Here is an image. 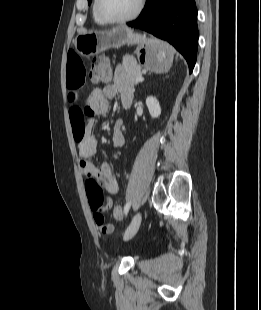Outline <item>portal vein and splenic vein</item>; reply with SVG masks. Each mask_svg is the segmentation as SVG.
Segmentation results:
<instances>
[{
  "mask_svg": "<svg viewBox=\"0 0 261 310\" xmlns=\"http://www.w3.org/2000/svg\"><path fill=\"white\" fill-rule=\"evenodd\" d=\"M143 80H144V78H143L142 76L136 78V81H137V82H142Z\"/></svg>",
  "mask_w": 261,
  "mask_h": 310,
  "instance_id": "18ae733b",
  "label": "portal vein and splenic vein"
}]
</instances>
